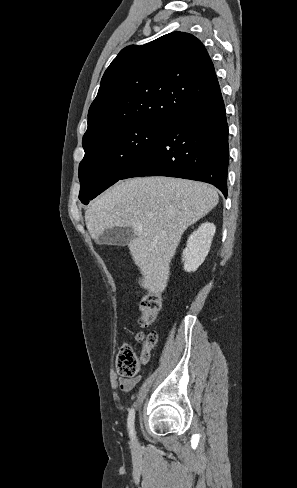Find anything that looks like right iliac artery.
<instances>
[{"instance_id":"right-iliac-artery-1","label":"right iliac artery","mask_w":297,"mask_h":488,"mask_svg":"<svg viewBox=\"0 0 297 488\" xmlns=\"http://www.w3.org/2000/svg\"><path fill=\"white\" fill-rule=\"evenodd\" d=\"M134 419H135V411L132 408L129 410L128 419H127L128 430L132 440L134 438Z\"/></svg>"}]
</instances>
